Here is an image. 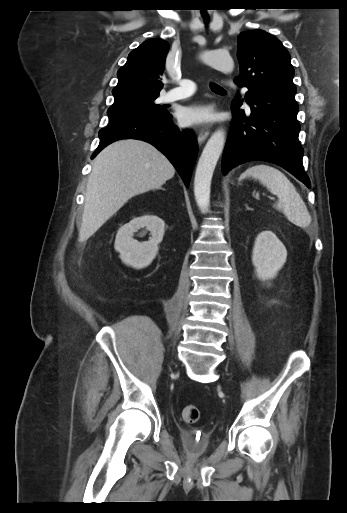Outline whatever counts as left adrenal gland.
<instances>
[{"instance_id": "1", "label": "left adrenal gland", "mask_w": 347, "mask_h": 513, "mask_svg": "<svg viewBox=\"0 0 347 513\" xmlns=\"http://www.w3.org/2000/svg\"><path fill=\"white\" fill-rule=\"evenodd\" d=\"M245 207H246V209H247V210H250V208L248 207V205H247V204H245Z\"/></svg>"}]
</instances>
